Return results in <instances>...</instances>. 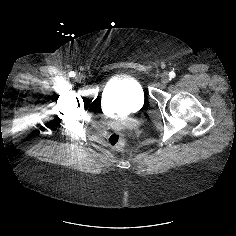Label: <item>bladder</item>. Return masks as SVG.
Listing matches in <instances>:
<instances>
[{
  "mask_svg": "<svg viewBox=\"0 0 236 236\" xmlns=\"http://www.w3.org/2000/svg\"><path fill=\"white\" fill-rule=\"evenodd\" d=\"M103 102L108 108L129 112L140 109L145 102V94L140 81L131 75H120L112 79L104 88Z\"/></svg>",
  "mask_w": 236,
  "mask_h": 236,
  "instance_id": "1",
  "label": "bladder"
}]
</instances>
